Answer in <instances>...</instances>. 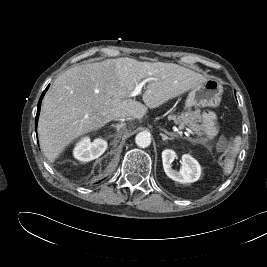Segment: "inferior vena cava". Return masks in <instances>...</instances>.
<instances>
[{
	"label": "inferior vena cava",
	"instance_id": "602c4592",
	"mask_svg": "<svg viewBox=\"0 0 267 267\" xmlns=\"http://www.w3.org/2000/svg\"><path fill=\"white\" fill-rule=\"evenodd\" d=\"M125 119H127V120H132V119H134L133 117H126V118H120V119H118V120H120V121H124Z\"/></svg>",
	"mask_w": 267,
	"mask_h": 267
}]
</instances>
